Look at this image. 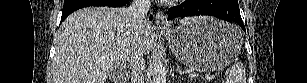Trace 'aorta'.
Wrapping results in <instances>:
<instances>
[{
  "mask_svg": "<svg viewBox=\"0 0 307 83\" xmlns=\"http://www.w3.org/2000/svg\"><path fill=\"white\" fill-rule=\"evenodd\" d=\"M153 83H166V68L160 58H156L152 67Z\"/></svg>",
  "mask_w": 307,
  "mask_h": 83,
  "instance_id": "obj_1",
  "label": "aorta"
}]
</instances>
